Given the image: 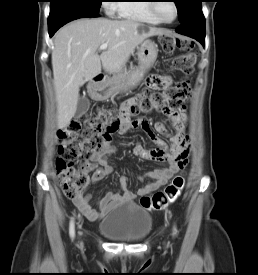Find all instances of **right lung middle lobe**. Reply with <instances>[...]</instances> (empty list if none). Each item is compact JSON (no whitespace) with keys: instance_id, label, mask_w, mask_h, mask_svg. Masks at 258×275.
<instances>
[{"instance_id":"right-lung-middle-lobe-1","label":"right lung middle lobe","mask_w":258,"mask_h":275,"mask_svg":"<svg viewBox=\"0 0 258 275\" xmlns=\"http://www.w3.org/2000/svg\"><path fill=\"white\" fill-rule=\"evenodd\" d=\"M50 13L61 10H85L99 13L102 0H51Z\"/></svg>"}]
</instances>
